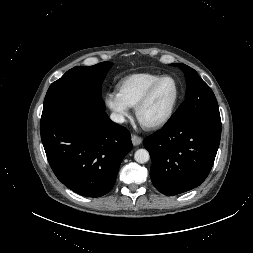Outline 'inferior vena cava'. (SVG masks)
Masks as SVG:
<instances>
[{"mask_svg":"<svg viewBox=\"0 0 253 253\" xmlns=\"http://www.w3.org/2000/svg\"><path fill=\"white\" fill-rule=\"evenodd\" d=\"M110 119L116 123H123L125 121L124 117L121 114H117V113H112L110 115Z\"/></svg>","mask_w":253,"mask_h":253,"instance_id":"602c4592","label":"inferior vena cava"}]
</instances>
